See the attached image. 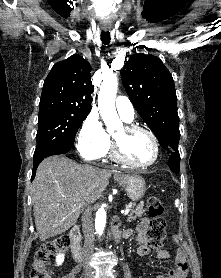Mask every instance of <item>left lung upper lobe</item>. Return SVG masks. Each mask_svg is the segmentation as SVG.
<instances>
[{
  "instance_id": "left-lung-upper-lobe-1",
  "label": "left lung upper lobe",
  "mask_w": 221,
  "mask_h": 278,
  "mask_svg": "<svg viewBox=\"0 0 221 278\" xmlns=\"http://www.w3.org/2000/svg\"><path fill=\"white\" fill-rule=\"evenodd\" d=\"M132 104L157 136L160 145L178 151L180 139L177 97L172 75L154 55L134 54L121 70Z\"/></svg>"
}]
</instances>
